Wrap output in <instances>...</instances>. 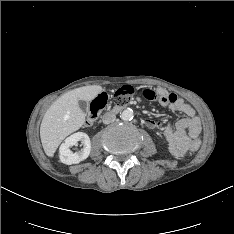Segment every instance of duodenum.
I'll use <instances>...</instances> for the list:
<instances>
[{
    "mask_svg": "<svg viewBox=\"0 0 234 234\" xmlns=\"http://www.w3.org/2000/svg\"><path fill=\"white\" fill-rule=\"evenodd\" d=\"M128 106H129V104L115 105V106H113V108L111 109V112L116 114V113L120 112L121 110L127 108Z\"/></svg>",
    "mask_w": 234,
    "mask_h": 234,
    "instance_id": "410a0bca",
    "label": "duodenum"
}]
</instances>
